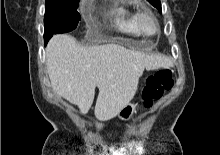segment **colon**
I'll use <instances>...</instances> for the list:
<instances>
[{
  "mask_svg": "<svg viewBox=\"0 0 220 155\" xmlns=\"http://www.w3.org/2000/svg\"><path fill=\"white\" fill-rule=\"evenodd\" d=\"M173 86L172 72L169 69H161L148 77L143 90V100L146 107H151L159 100L164 92Z\"/></svg>",
  "mask_w": 220,
  "mask_h": 155,
  "instance_id": "colon-1",
  "label": "colon"
}]
</instances>
